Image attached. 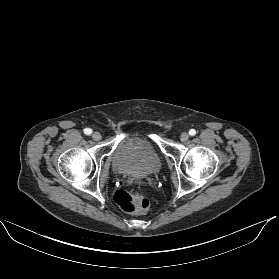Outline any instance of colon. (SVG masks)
Instances as JSON below:
<instances>
[{"mask_svg":"<svg viewBox=\"0 0 279 279\" xmlns=\"http://www.w3.org/2000/svg\"><path fill=\"white\" fill-rule=\"evenodd\" d=\"M114 199L120 209L125 213L143 214L149 208L147 198L134 194L128 190H118Z\"/></svg>","mask_w":279,"mask_h":279,"instance_id":"1","label":"colon"}]
</instances>
